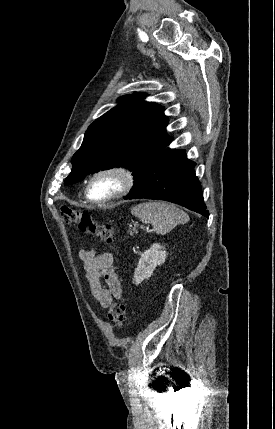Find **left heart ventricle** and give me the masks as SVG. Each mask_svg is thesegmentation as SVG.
Masks as SVG:
<instances>
[{
  "instance_id": "left-heart-ventricle-1",
  "label": "left heart ventricle",
  "mask_w": 275,
  "mask_h": 429,
  "mask_svg": "<svg viewBox=\"0 0 275 429\" xmlns=\"http://www.w3.org/2000/svg\"><path fill=\"white\" fill-rule=\"evenodd\" d=\"M119 186V181L112 175H103L96 178L90 188V195L94 199H101L111 195Z\"/></svg>"
}]
</instances>
